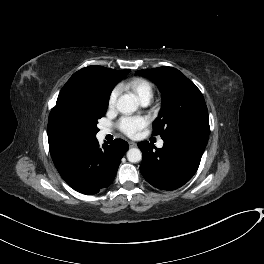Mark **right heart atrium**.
<instances>
[{
	"label": "right heart atrium",
	"instance_id": "right-heart-atrium-1",
	"mask_svg": "<svg viewBox=\"0 0 264 264\" xmlns=\"http://www.w3.org/2000/svg\"><path fill=\"white\" fill-rule=\"evenodd\" d=\"M119 96V90L118 89H114L110 95H109V99H108V106L110 109H113L116 106V102Z\"/></svg>",
	"mask_w": 264,
	"mask_h": 264
}]
</instances>
